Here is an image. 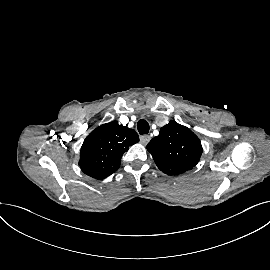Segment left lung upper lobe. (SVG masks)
Segmentation results:
<instances>
[{"instance_id":"1","label":"left lung upper lobe","mask_w":270,"mask_h":270,"mask_svg":"<svg viewBox=\"0 0 270 270\" xmlns=\"http://www.w3.org/2000/svg\"><path fill=\"white\" fill-rule=\"evenodd\" d=\"M158 168L169 175L192 169L199 161L202 146L199 138L187 127L171 120L147 145Z\"/></svg>"}]
</instances>
